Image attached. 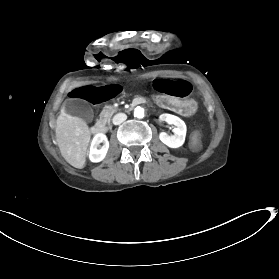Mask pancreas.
<instances>
[{
	"label": "pancreas",
	"mask_w": 279,
	"mask_h": 279,
	"mask_svg": "<svg viewBox=\"0 0 279 279\" xmlns=\"http://www.w3.org/2000/svg\"><path fill=\"white\" fill-rule=\"evenodd\" d=\"M133 100L142 101V103L147 104V101L142 100V98L133 96ZM118 111V108L113 105L104 106L103 110L100 113V120H104L105 123L112 117L114 113Z\"/></svg>",
	"instance_id": "cf45deb5"
}]
</instances>
